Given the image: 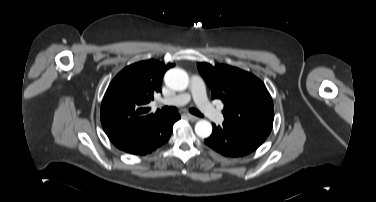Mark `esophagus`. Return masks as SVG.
Here are the masks:
<instances>
[{"label": "esophagus", "mask_w": 376, "mask_h": 202, "mask_svg": "<svg viewBox=\"0 0 376 202\" xmlns=\"http://www.w3.org/2000/svg\"><path fill=\"white\" fill-rule=\"evenodd\" d=\"M186 116L188 117L189 120H191L192 122H195L198 120V117L194 116V115H191V114H186Z\"/></svg>", "instance_id": "34e87169"}]
</instances>
